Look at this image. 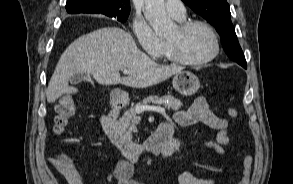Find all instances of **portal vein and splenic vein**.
I'll return each instance as SVG.
<instances>
[{"mask_svg": "<svg viewBox=\"0 0 293 184\" xmlns=\"http://www.w3.org/2000/svg\"><path fill=\"white\" fill-rule=\"evenodd\" d=\"M123 73L124 74H129L130 71L125 69L123 71ZM144 111L158 112V113H161V114H165V112H166V110L164 108L157 107V106L143 105V106H137L136 107V112L137 113H141V112H144Z\"/></svg>", "mask_w": 293, "mask_h": 184, "instance_id": "1", "label": "portal vein and splenic vein"}]
</instances>
